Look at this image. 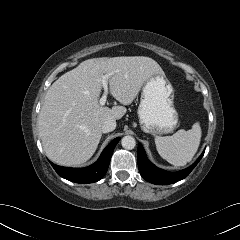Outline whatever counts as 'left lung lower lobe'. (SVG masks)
<instances>
[{
  "label": "left lung lower lobe",
  "mask_w": 240,
  "mask_h": 240,
  "mask_svg": "<svg viewBox=\"0 0 240 240\" xmlns=\"http://www.w3.org/2000/svg\"><path fill=\"white\" fill-rule=\"evenodd\" d=\"M204 152L198 160L189 168L178 171L168 172L154 166L146 157V153L141 144L138 145V167L141 176L148 182L158 185H166L178 182L187 177L194 167L198 164Z\"/></svg>",
  "instance_id": "1"
}]
</instances>
